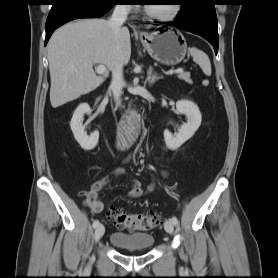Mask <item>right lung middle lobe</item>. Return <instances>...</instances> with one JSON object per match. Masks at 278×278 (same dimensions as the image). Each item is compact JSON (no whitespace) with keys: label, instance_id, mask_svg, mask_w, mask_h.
I'll return each mask as SVG.
<instances>
[{"label":"right lung middle lobe","instance_id":"right-lung-middle-lobe-1","mask_svg":"<svg viewBox=\"0 0 278 278\" xmlns=\"http://www.w3.org/2000/svg\"><path fill=\"white\" fill-rule=\"evenodd\" d=\"M61 0H54L53 4L60 2ZM86 1H102V2H114L115 0H86Z\"/></svg>","mask_w":278,"mask_h":278}]
</instances>
